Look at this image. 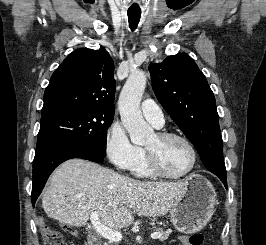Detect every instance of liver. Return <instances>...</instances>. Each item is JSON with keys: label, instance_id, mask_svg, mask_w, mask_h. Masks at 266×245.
I'll return each mask as SVG.
<instances>
[{"label": "liver", "instance_id": "6515ba94", "mask_svg": "<svg viewBox=\"0 0 266 245\" xmlns=\"http://www.w3.org/2000/svg\"><path fill=\"white\" fill-rule=\"evenodd\" d=\"M184 189L185 183H143L90 161L70 159L52 173L42 207L47 217L70 227H84L96 211L101 225L120 231L133 223L132 211L163 217Z\"/></svg>", "mask_w": 266, "mask_h": 245}]
</instances>
